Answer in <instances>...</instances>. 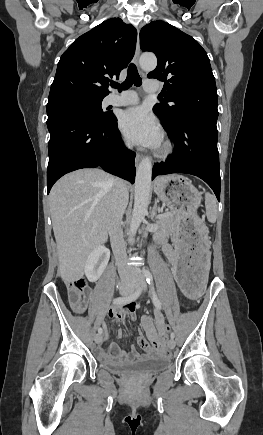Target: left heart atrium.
Segmentation results:
<instances>
[{"instance_id":"1","label":"left heart atrium","mask_w":263,"mask_h":435,"mask_svg":"<svg viewBox=\"0 0 263 435\" xmlns=\"http://www.w3.org/2000/svg\"><path fill=\"white\" fill-rule=\"evenodd\" d=\"M119 126L126 138L135 144L157 147L162 141V132L157 121L143 107L124 111Z\"/></svg>"}]
</instances>
